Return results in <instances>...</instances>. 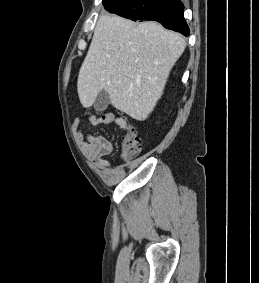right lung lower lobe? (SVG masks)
<instances>
[{
  "label": "right lung lower lobe",
  "mask_w": 259,
  "mask_h": 283,
  "mask_svg": "<svg viewBox=\"0 0 259 283\" xmlns=\"http://www.w3.org/2000/svg\"><path fill=\"white\" fill-rule=\"evenodd\" d=\"M104 8L131 20H154L165 28L189 35L180 0H103Z\"/></svg>",
  "instance_id": "right-lung-lower-lobe-1"
}]
</instances>
